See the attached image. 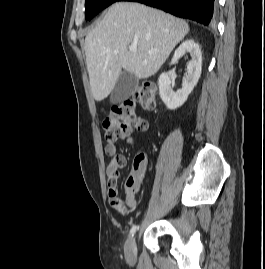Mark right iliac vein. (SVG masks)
I'll list each match as a JSON object with an SVG mask.
<instances>
[{"label":"right iliac vein","mask_w":265,"mask_h":269,"mask_svg":"<svg viewBox=\"0 0 265 269\" xmlns=\"http://www.w3.org/2000/svg\"><path fill=\"white\" fill-rule=\"evenodd\" d=\"M125 257L128 261H134L136 258V239L131 236L125 245Z\"/></svg>","instance_id":"1"}]
</instances>
